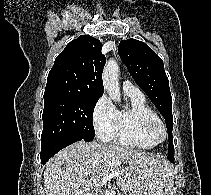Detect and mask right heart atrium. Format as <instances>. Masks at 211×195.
<instances>
[{
    "instance_id": "1",
    "label": "right heart atrium",
    "mask_w": 211,
    "mask_h": 195,
    "mask_svg": "<svg viewBox=\"0 0 211 195\" xmlns=\"http://www.w3.org/2000/svg\"><path fill=\"white\" fill-rule=\"evenodd\" d=\"M116 109L110 99L103 95L96 102L92 112V123L102 141H110L115 125Z\"/></svg>"
}]
</instances>
